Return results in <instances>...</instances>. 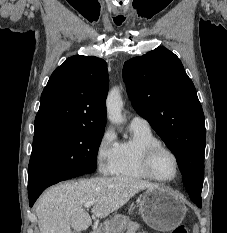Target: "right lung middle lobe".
Returning a JSON list of instances; mask_svg holds the SVG:
<instances>
[{
    "mask_svg": "<svg viewBox=\"0 0 227 233\" xmlns=\"http://www.w3.org/2000/svg\"><path fill=\"white\" fill-rule=\"evenodd\" d=\"M104 127H56L33 138L28 186L69 173H93Z\"/></svg>",
    "mask_w": 227,
    "mask_h": 233,
    "instance_id": "right-lung-middle-lobe-1",
    "label": "right lung middle lobe"
}]
</instances>
